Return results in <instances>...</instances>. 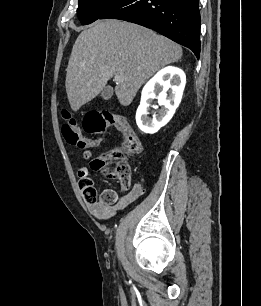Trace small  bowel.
<instances>
[{"label": "small bowel", "mask_w": 261, "mask_h": 306, "mask_svg": "<svg viewBox=\"0 0 261 306\" xmlns=\"http://www.w3.org/2000/svg\"><path fill=\"white\" fill-rule=\"evenodd\" d=\"M100 143L99 140H93L92 147L98 146ZM89 153H86V156H88ZM82 172H86L87 175H89V172L87 168L81 167L78 170V176L82 174ZM83 193V192H82ZM143 194V188L140 184H134L128 192H126L124 195H122L120 198H117V200L110 205H106L100 202L97 203H88V207L90 212L101 220H108L115 216V214L125 209L127 206H129L131 203L136 201L141 195ZM83 196L85 198V194L83 193ZM86 199V198H85Z\"/></svg>", "instance_id": "obj_1"}]
</instances>
